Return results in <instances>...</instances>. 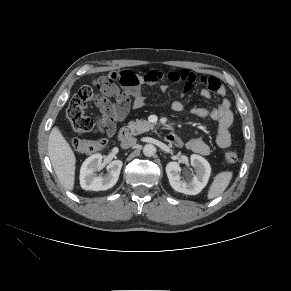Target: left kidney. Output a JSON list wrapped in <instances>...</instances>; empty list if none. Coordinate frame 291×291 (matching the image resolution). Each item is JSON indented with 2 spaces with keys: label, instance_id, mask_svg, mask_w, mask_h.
<instances>
[{
  "label": "left kidney",
  "instance_id": "obj_1",
  "mask_svg": "<svg viewBox=\"0 0 291 291\" xmlns=\"http://www.w3.org/2000/svg\"><path fill=\"white\" fill-rule=\"evenodd\" d=\"M190 161L196 172L190 180H181V167L177 162H169L166 165V173L169 183L175 191L187 195H196L207 185L211 166L205 158L197 154L191 155Z\"/></svg>",
  "mask_w": 291,
  "mask_h": 291
}]
</instances>
